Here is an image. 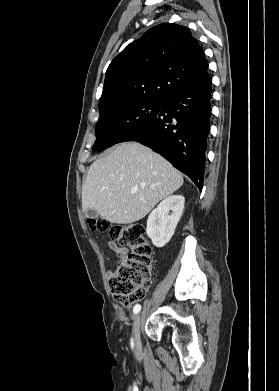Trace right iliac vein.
Listing matches in <instances>:
<instances>
[{
  "mask_svg": "<svg viewBox=\"0 0 279 391\" xmlns=\"http://www.w3.org/2000/svg\"><path fill=\"white\" fill-rule=\"evenodd\" d=\"M140 325H141V316L140 314H138L135 317L133 328H132L133 340L135 345H139L140 343Z\"/></svg>",
  "mask_w": 279,
  "mask_h": 391,
  "instance_id": "1",
  "label": "right iliac vein"
}]
</instances>
